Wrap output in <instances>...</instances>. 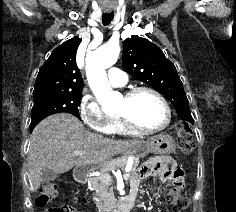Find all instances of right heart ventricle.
Wrapping results in <instances>:
<instances>
[{"mask_svg": "<svg viewBox=\"0 0 236 212\" xmlns=\"http://www.w3.org/2000/svg\"><path fill=\"white\" fill-rule=\"evenodd\" d=\"M107 133L119 134V135H131L134 134L128 131L117 117H112L107 129Z\"/></svg>", "mask_w": 236, "mask_h": 212, "instance_id": "obj_1", "label": "right heart ventricle"}]
</instances>
